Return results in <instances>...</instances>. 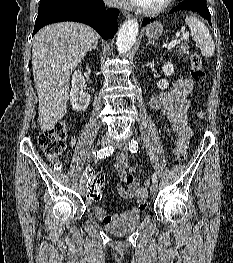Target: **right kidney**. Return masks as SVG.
I'll return each mask as SVG.
<instances>
[{
    "label": "right kidney",
    "mask_w": 233,
    "mask_h": 263,
    "mask_svg": "<svg viewBox=\"0 0 233 263\" xmlns=\"http://www.w3.org/2000/svg\"><path fill=\"white\" fill-rule=\"evenodd\" d=\"M86 69H89L88 66ZM72 89L70 91V103L73 110L78 112L85 111L90 102V95L83 92L85 84L81 71L77 70L72 76Z\"/></svg>",
    "instance_id": "1"
}]
</instances>
